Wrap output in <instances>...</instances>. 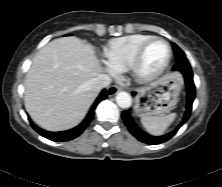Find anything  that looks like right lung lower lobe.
<instances>
[{"instance_id":"1","label":"right lung lower lobe","mask_w":222,"mask_h":187,"mask_svg":"<svg viewBox=\"0 0 222 187\" xmlns=\"http://www.w3.org/2000/svg\"><path fill=\"white\" fill-rule=\"evenodd\" d=\"M106 97H107V94H106V90L104 89V90H102V92L100 93L98 98L95 100L94 104L92 105V107H91L89 113L87 114L86 118L84 119V121L80 125H78L77 127L73 128L71 130L62 131V132H49V131H45V130L39 128L33 122H30L31 126L40 135H42L43 137L50 139L52 141L62 142V141H68V140L74 139L84 131V129L87 127V125L90 123V121L93 118L96 106L98 105V103L100 101L104 100Z\"/></svg>"}]
</instances>
